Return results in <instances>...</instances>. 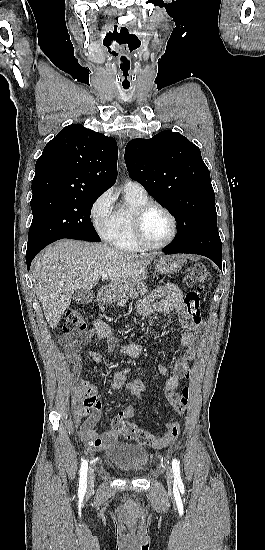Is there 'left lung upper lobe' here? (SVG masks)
Here are the masks:
<instances>
[{
    "label": "left lung upper lobe",
    "mask_w": 265,
    "mask_h": 550,
    "mask_svg": "<svg viewBox=\"0 0 265 550\" xmlns=\"http://www.w3.org/2000/svg\"><path fill=\"white\" fill-rule=\"evenodd\" d=\"M125 161L130 177L175 217L174 246L222 256L210 173L195 144L166 130L131 140Z\"/></svg>",
    "instance_id": "left-lung-upper-lobe-1"
}]
</instances>
